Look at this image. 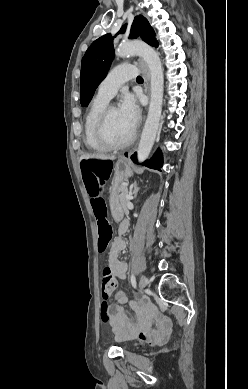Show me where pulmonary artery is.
<instances>
[{
  "label": "pulmonary artery",
  "mask_w": 248,
  "mask_h": 389,
  "mask_svg": "<svg viewBox=\"0 0 248 389\" xmlns=\"http://www.w3.org/2000/svg\"><path fill=\"white\" fill-rule=\"evenodd\" d=\"M135 65L123 63L114 67L98 87V95L110 100L114 97L120 86L126 81L136 77Z\"/></svg>",
  "instance_id": "obj_1"
}]
</instances>
